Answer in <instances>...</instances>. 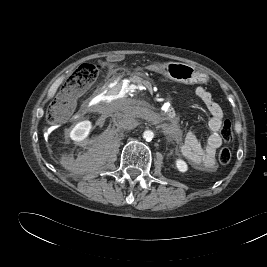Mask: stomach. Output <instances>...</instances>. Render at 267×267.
<instances>
[{"mask_svg": "<svg viewBox=\"0 0 267 267\" xmlns=\"http://www.w3.org/2000/svg\"><path fill=\"white\" fill-rule=\"evenodd\" d=\"M148 69L161 73L179 83H206L208 81V77L205 74L185 63L152 64Z\"/></svg>", "mask_w": 267, "mask_h": 267, "instance_id": "0dacf381", "label": "stomach"}]
</instances>
